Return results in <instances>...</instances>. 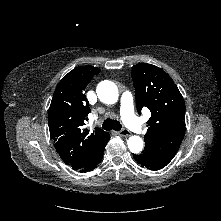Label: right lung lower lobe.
Returning a JSON list of instances; mask_svg holds the SVG:
<instances>
[{"label":"right lung lower lobe","instance_id":"1","mask_svg":"<svg viewBox=\"0 0 221 221\" xmlns=\"http://www.w3.org/2000/svg\"><path fill=\"white\" fill-rule=\"evenodd\" d=\"M109 139H110V135L108 136L107 140L102 145V147L99 149V151L96 154L95 158L88 165H86L83 169H81L80 170L81 172H88V171H91V170H93L94 168L97 167V165L99 164V162H101V160L103 158L104 149H105V146L108 143Z\"/></svg>","mask_w":221,"mask_h":221}]
</instances>
